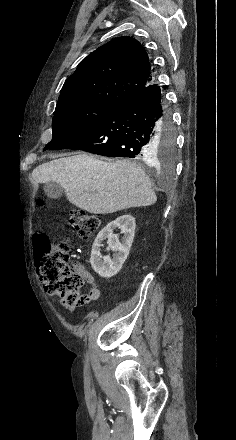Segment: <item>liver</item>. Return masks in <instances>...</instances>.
<instances>
[{"mask_svg":"<svg viewBox=\"0 0 236 440\" xmlns=\"http://www.w3.org/2000/svg\"><path fill=\"white\" fill-rule=\"evenodd\" d=\"M32 177L36 183H58L70 203L93 214L150 206L157 200L149 177L128 160L106 162L83 153L43 163Z\"/></svg>","mask_w":236,"mask_h":440,"instance_id":"liver-1","label":"liver"}]
</instances>
